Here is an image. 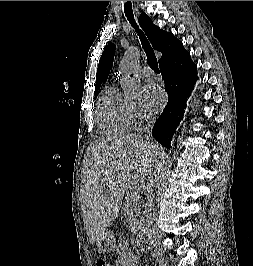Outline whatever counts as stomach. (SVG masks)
I'll return each instance as SVG.
<instances>
[{
    "mask_svg": "<svg viewBox=\"0 0 253 266\" xmlns=\"http://www.w3.org/2000/svg\"><path fill=\"white\" fill-rule=\"evenodd\" d=\"M96 243L98 249L101 252L107 253L111 251L115 244V238L113 233L110 231L104 232V234L100 237V239Z\"/></svg>",
    "mask_w": 253,
    "mask_h": 266,
    "instance_id": "stomach-1",
    "label": "stomach"
}]
</instances>
